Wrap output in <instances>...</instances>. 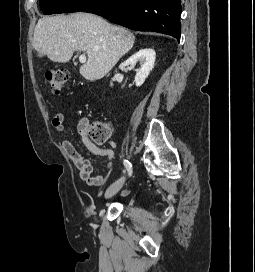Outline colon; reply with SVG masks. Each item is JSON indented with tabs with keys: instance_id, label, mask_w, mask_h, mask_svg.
Instances as JSON below:
<instances>
[{
	"instance_id": "1",
	"label": "colon",
	"mask_w": 255,
	"mask_h": 272,
	"mask_svg": "<svg viewBox=\"0 0 255 272\" xmlns=\"http://www.w3.org/2000/svg\"><path fill=\"white\" fill-rule=\"evenodd\" d=\"M45 79L49 83L51 91L59 94L69 79V72L65 69H48L45 72ZM113 125L111 122L98 121L87 126L88 136L97 144H107L112 135Z\"/></svg>"
}]
</instances>
